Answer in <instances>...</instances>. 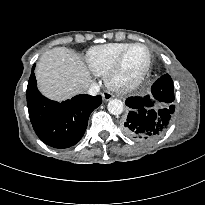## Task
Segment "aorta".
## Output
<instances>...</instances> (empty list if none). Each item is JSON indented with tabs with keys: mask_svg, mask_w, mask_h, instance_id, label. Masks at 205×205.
Instances as JSON below:
<instances>
[{
	"mask_svg": "<svg viewBox=\"0 0 205 205\" xmlns=\"http://www.w3.org/2000/svg\"><path fill=\"white\" fill-rule=\"evenodd\" d=\"M108 111L113 115H120L123 112V102L120 99H112L108 103Z\"/></svg>",
	"mask_w": 205,
	"mask_h": 205,
	"instance_id": "762f6f07",
	"label": "aorta"
}]
</instances>
